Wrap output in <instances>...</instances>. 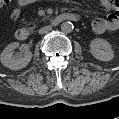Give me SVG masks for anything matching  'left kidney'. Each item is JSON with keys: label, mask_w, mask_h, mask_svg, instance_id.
I'll use <instances>...</instances> for the list:
<instances>
[{"label": "left kidney", "mask_w": 119, "mask_h": 119, "mask_svg": "<svg viewBox=\"0 0 119 119\" xmlns=\"http://www.w3.org/2000/svg\"><path fill=\"white\" fill-rule=\"evenodd\" d=\"M90 52L93 57L100 61H111L114 57L111 44L100 38H96L90 42Z\"/></svg>", "instance_id": "left-kidney-1"}]
</instances>
